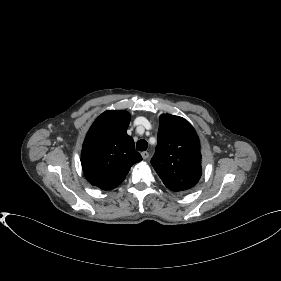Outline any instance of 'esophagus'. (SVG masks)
<instances>
[{
  "instance_id": "obj_1",
  "label": "esophagus",
  "mask_w": 281,
  "mask_h": 281,
  "mask_svg": "<svg viewBox=\"0 0 281 281\" xmlns=\"http://www.w3.org/2000/svg\"><path fill=\"white\" fill-rule=\"evenodd\" d=\"M141 156L144 160L148 159L149 158V153L147 151H144L141 153Z\"/></svg>"
}]
</instances>
